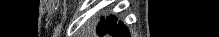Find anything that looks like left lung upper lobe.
<instances>
[{
    "label": "left lung upper lobe",
    "instance_id": "left-lung-upper-lobe-1",
    "mask_svg": "<svg viewBox=\"0 0 219 37\" xmlns=\"http://www.w3.org/2000/svg\"><path fill=\"white\" fill-rule=\"evenodd\" d=\"M101 22L99 23L97 27V33L102 36L104 33H106L114 24L116 21L115 17H107L106 19L101 18Z\"/></svg>",
    "mask_w": 219,
    "mask_h": 37
}]
</instances>
